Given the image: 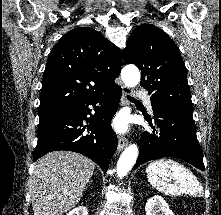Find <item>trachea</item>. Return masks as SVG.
I'll list each match as a JSON object with an SVG mask.
<instances>
[{
	"mask_svg": "<svg viewBox=\"0 0 221 215\" xmlns=\"http://www.w3.org/2000/svg\"><path fill=\"white\" fill-rule=\"evenodd\" d=\"M127 98H128V100H130V101H137V100H135L133 97H131V96H127Z\"/></svg>",
	"mask_w": 221,
	"mask_h": 215,
	"instance_id": "1",
	"label": "trachea"
}]
</instances>
